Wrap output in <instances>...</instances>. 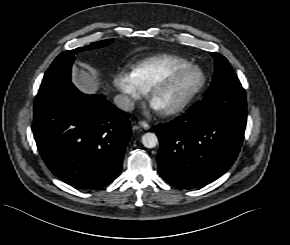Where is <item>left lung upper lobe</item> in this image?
<instances>
[{
	"label": "left lung upper lobe",
	"instance_id": "left-lung-upper-lobe-1",
	"mask_svg": "<svg viewBox=\"0 0 290 245\" xmlns=\"http://www.w3.org/2000/svg\"><path fill=\"white\" fill-rule=\"evenodd\" d=\"M210 54L215 60V73L212 84L205 96L212 95L227 88L241 87V83L239 82L227 59L219 53L210 52Z\"/></svg>",
	"mask_w": 290,
	"mask_h": 245
}]
</instances>
